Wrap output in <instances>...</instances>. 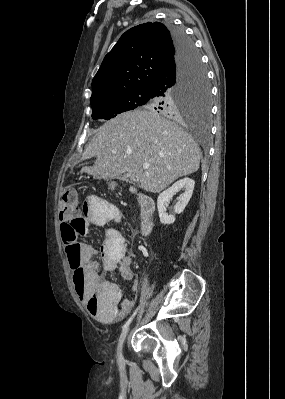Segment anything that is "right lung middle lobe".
Returning <instances> with one entry per match:
<instances>
[{"label": "right lung middle lobe", "mask_w": 285, "mask_h": 399, "mask_svg": "<svg viewBox=\"0 0 285 399\" xmlns=\"http://www.w3.org/2000/svg\"><path fill=\"white\" fill-rule=\"evenodd\" d=\"M171 105L166 106V102ZM93 119L109 120L122 112L146 106L158 112H195L207 121L211 110V93L206 70L201 58L197 57L186 69L180 82L169 89L166 96H156L150 88L121 91L90 100Z\"/></svg>", "instance_id": "right-lung-middle-lobe-1"}]
</instances>
